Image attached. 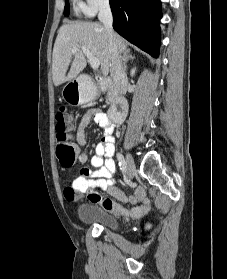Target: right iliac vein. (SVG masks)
Here are the masks:
<instances>
[{
  "label": "right iliac vein",
  "instance_id": "63e3f726",
  "mask_svg": "<svg viewBox=\"0 0 227 279\" xmlns=\"http://www.w3.org/2000/svg\"><path fill=\"white\" fill-rule=\"evenodd\" d=\"M125 163H126V170L128 172V175L132 177L135 174V163L129 154L126 155Z\"/></svg>",
  "mask_w": 227,
  "mask_h": 279
}]
</instances>
